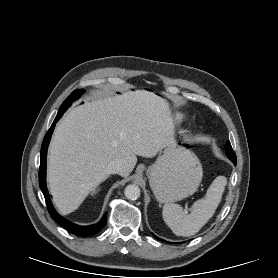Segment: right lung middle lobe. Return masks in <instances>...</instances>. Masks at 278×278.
I'll use <instances>...</instances> for the list:
<instances>
[{
	"label": "right lung middle lobe",
	"mask_w": 278,
	"mask_h": 278,
	"mask_svg": "<svg viewBox=\"0 0 278 278\" xmlns=\"http://www.w3.org/2000/svg\"><path fill=\"white\" fill-rule=\"evenodd\" d=\"M84 90H75L70 96L62 103L59 111H65L81 94H83Z\"/></svg>",
	"instance_id": "1"
}]
</instances>
